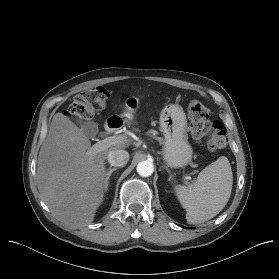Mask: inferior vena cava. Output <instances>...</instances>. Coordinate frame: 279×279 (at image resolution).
I'll list each match as a JSON object with an SVG mask.
<instances>
[{"label": "inferior vena cava", "mask_w": 279, "mask_h": 279, "mask_svg": "<svg viewBox=\"0 0 279 279\" xmlns=\"http://www.w3.org/2000/svg\"><path fill=\"white\" fill-rule=\"evenodd\" d=\"M107 159L111 166L122 167L129 161V153L125 150L114 149L109 152Z\"/></svg>", "instance_id": "obj_1"}]
</instances>
